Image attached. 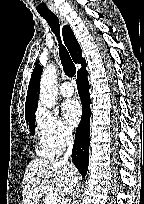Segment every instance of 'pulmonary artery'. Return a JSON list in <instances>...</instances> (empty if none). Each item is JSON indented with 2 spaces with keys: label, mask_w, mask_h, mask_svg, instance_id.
Masks as SVG:
<instances>
[{
  "label": "pulmonary artery",
  "mask_w": 144,
  "mask_h": 204,
  "mask_svg": "<svg viewBox=\"0 0 144 204\" xmlns=\"http://www.w3.org/2000/svg\"><path fill=\"white\" fill-rule=\"evenodd\" d=\"M60 92H61V94H62L63 96L68 97V96L73 95V93H74V88H73V86H72L71 83H69V82H64V83L61 84Z\"/></svg>",
  "instance_id": "1"
}]
</instances>
